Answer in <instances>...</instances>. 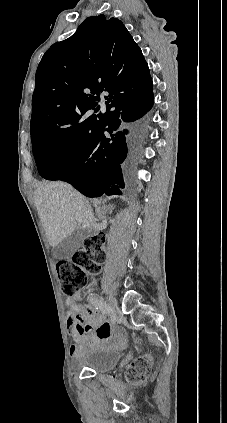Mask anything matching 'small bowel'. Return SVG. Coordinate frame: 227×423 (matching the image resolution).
<instances>
[{
	"label": "small bowel",
	"mask_w": 227,
	"mask_h": 423,
	"mask_svg": "<svg viewBox=\"0 0 227 423\" xmlns=\"http://www.w3.org/2000/svg\"><path fill=\"white\" fill-rule=\"evenodd\" d=\"M67 325L74 339V343L69 349L70 355L73 357H78L87 350L108 344L116 347L124 344L123 329L113 327L104 317L97 315L89 308L69 312Z\"/></svg>",
	"instance_id": "1"
}]
</instances>
